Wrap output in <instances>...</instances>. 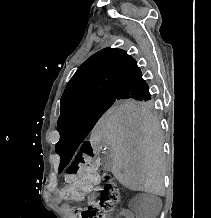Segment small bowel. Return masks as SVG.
I'll list each match as a JSON object with an SVG mask.
<instances>
[{
	"mask_svg": "<svg viewBox=\"0 0 211 218\" xmlns=\"http://www.w3.org/2000/svg\"><path fill=\"white\" fill-rule=\"evenodd\" d=\"M100 191L99 187H96L93 192L90 194L88 200L89 202H92L94 200L97 199L98 197V192ZM64 200L63 196H62V192L61 190H58L56 192H54V201L56 203H61ZM63 208L69 212V213H73L74 209L72 207H70L69 205H63ZM121 216L123 218H133V212L129 209H124L121 211Z\"/></svg>",
	"mask_w": 211,
	"mask_h": 218,
	"instance_id": "c3829d8e",
	"label": "small bowel"
}]
</instances>
